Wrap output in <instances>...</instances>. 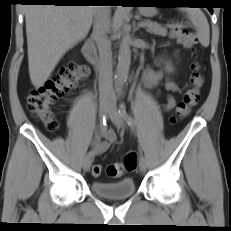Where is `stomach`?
<instances>
[{
    "instance_id": "obj_1",
    "label": "stomach",
    "mask_w": 231,
    "mask_h": 231,
    "mask_svg": "<svg viewBox=\"0 0 231 231\" xmlns=\"http://www.w3.org/2000/svg\"><path fill=\"white\" fill-rule=\"evenodd\" d=\"M140 12L142 14L146 15V16H151L152 15L151 11L148 10V8H146V7H140Z\"/></svg>"
}]
</instances>
